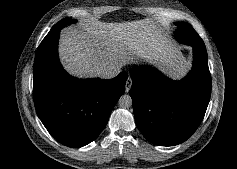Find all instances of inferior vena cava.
<instances>
[{
  "instance_id": "obj_1",
  "label": "inferior vena cava",
  "mask_w": 237,
  "mask_h": 169,
  "mask_svg": "<svg viewBox=\"0 0 237 169\" xmlns=\"http://www.w3.org/2000/svg\"><path fill=\"white\" fill-rule=\"evenodd\" d=\"M120 72H121L120 66L110 65L103 68L99 76L104 79H110L116 77Z\"/></svg>"
}]
</instances>
